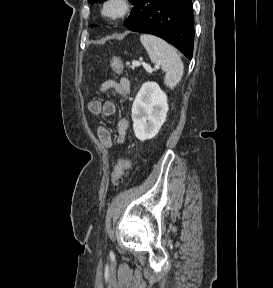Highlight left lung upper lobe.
I'll use <instances>...</instances> for the list:
<instances>
[{
  "label": "left lung upper lobe",
  "instance_id": "5c2ea615",
  "mask_svg": "<svg viewBox=\"0 0 273 288\" xmlns=\"http://www.w3.org/2000/svg\"><path fill=\"white\" fill-rule=\"evenodd\" d=\"M89 1V3H97V2H102V1H104V0H88ZM131 2H132V4H134V2L136 1V0H130Z\"/></svg>",
  "mask_w": 273,
  "mask_h": 288
}]
</instances>
